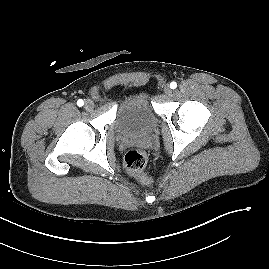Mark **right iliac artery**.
I'll use <instances>...</instances> for the list:
<instances>
[{
  "mask_svg": "<svg viewBox=\"0 0 269 269\" xmlns=\"http://www.w3.org/2000/svg\"><path fill=\"white\" fill-rule=\"evenodd\" d=\"M77 105H78L79 107L83 106V105H84L83 100H82V99H79V100L77 101Z\"/></svg>",
  "mask_w": 269,
  "mask_h": 269,
  "instance_id": "right-iliac-artery-1",
  "label": "right iliac artery"
}]
</instances>
